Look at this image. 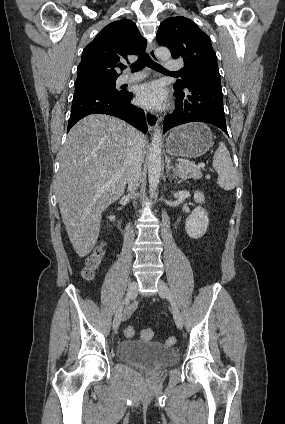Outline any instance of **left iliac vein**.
I'll use <instances>...</instances> for the list:
<instances>
[{
  "instance_id": "obj_1",
  "label": "left iliac vein",
  "mask_w": 285,
  "mask_h": 424,
  "mask_svg": "<svg viewBox=\"0 0 285 424\" xmlns=\"http://www.w3.org/2000/svg\"><path fill=\"white\" fill-rule=\"evenodd\" d=\"M158 293L162 298H166L171 303L175 324L179 329H182L183 320H182L181 313L173 299V296L171 295L169 291L168 286L162 280L158 281Z\"/></svg>"
}]
</instances>
